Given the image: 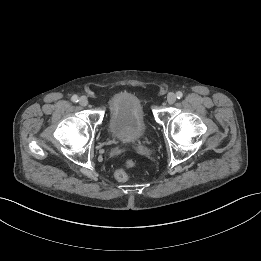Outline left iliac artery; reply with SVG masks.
I'll use <instances>...</instances> for the list:
<instances>
[{"label":"left iliac artery","mask_w":261,"mask_h":261,"mask_svg":"<svg viewBox=\"0 0 261 261\" xmlns=\"http://www.w3.org/2000/svg\"><path fill=\"white\" fill-rule=\"evenodd\" d=\"M176 97H177V99H181L183 97V93L181 91H178L176 93Z\"/></svg>","instance_id":"44dca946"}]
</instances>
